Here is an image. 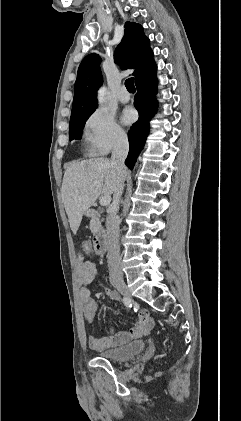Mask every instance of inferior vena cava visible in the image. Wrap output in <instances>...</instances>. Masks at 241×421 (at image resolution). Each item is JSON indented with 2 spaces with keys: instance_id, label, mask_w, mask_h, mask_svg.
Listing matches in <instances>:
<instances>
[{
  "instance_id": "1",
  "label": "inferior vena cava",
  "mask_w": 241,
  "mask_h": 421,
  "mask_svg": "<svg viewBox=\"0 0 241 421\" xmlns=\"http://www.w3.org/2000/svg\"><path fill=\"white\" fill-rule=\"evenodd\" d=\"M129 151V143L126 136H120L113 147L111 163L121 173V177L117 188L114 192L113 202L109 208L106 218V239L108 246V267L112 277L122 278L120 246H119V221L116 214L119 210V202L124 190L125 177L123 173L126 171L125 159Z\"/></svg>"
}]
</instances>
